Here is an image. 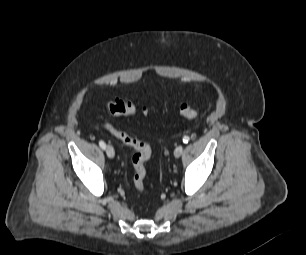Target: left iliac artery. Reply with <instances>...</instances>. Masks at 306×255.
Segmentation results:
<instances>
[{
	"instance_id": "44dca946",
	"label": "left iliac artery",
	"mask_w": 306,
	"mask_h": 255,
	"mask_svg": "<svg viewBox=\"0 0 306 255\" xmlns=\"http://www.w3.org/2000/svg\"><path fill=\"white\" fill-rule=\"evenodd\" d=\"M189 140H190V138H189L188 136H184V137H183V142H184V143H188Z\"/></svg>"
}]
</instances>
